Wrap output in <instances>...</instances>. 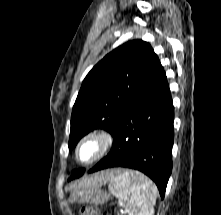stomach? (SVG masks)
I'll return each mask as SVG.
<instances>
[{"label":"stomach","instance_id":"0dacf381","mask_svg":"<svg viewBox=\"0 0 221 215\" xmlns=\"http://www.w3.org/2000/svg\"><path fill=\"white\" fill-rule=\"evenodd\" d=\"M110 194L103 191L100 186L74 190L70 201L78 204H104L109 201Z\"/></svg>","mask_w":221,"mask_h":215}]
</instances>
